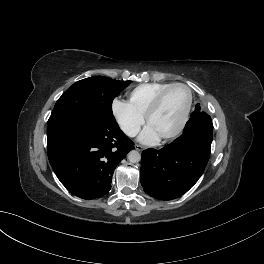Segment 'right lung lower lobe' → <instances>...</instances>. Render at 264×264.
<instances>
[{
	"mask_svg": "<svg viewBox=\"0 0 264 264\" xmlns=\"http://www.w3.org/2000/svg\"><path fill=\"white\" fill-rule=\"evenodd\" d=\"M133 148L115 120L80 119L47 134L48 158L55 174L83 199L110 191L115 168Z\"/></svg>",
	"mask_w": 264,
	"mask_h": 264,
	"instance_id": "1",
	"label": "right lung lower lobe"
}]
</instances>
